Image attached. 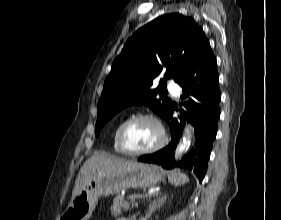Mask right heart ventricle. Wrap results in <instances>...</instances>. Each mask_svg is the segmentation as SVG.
I'll list each match as a JSON object with an SVG mask.
<instances>
[{
	"label": "right heart ventricle",
	"instance_id": "1",
	"mask_svg": "<svg viewBox=\"0 0 281 220\" xmlns=\"http://www.w3.org/2000/svg\"><path fill=\"white\" fill-rule=\"evenodd\" d=\"M121 125V123H118L112 133V149L115 153L117 154H124L118 147L117 145V141H116V135H117V131H118V128L119 126Z\"/></svg>",
	"mask_w": 281,
	"mask_h": 220
}]
</instances>
